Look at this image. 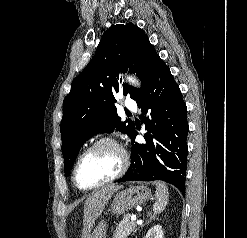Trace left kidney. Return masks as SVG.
Segmentation results:
<instances>
[{
    "mask_svg": "<svg viewBox=\"0 0 247 238\" xmlns=\"http://www.w3.org/2000/svg\"><path fill=\"white\" fill-rule=\"evenodd\" d=\"M144 238H164V233L160 225H155L149 229L148 233Z\"/></svg>",
    "mask_w": 247,
    "mask_h": 238,
    "instance_id": "obj_1",
    "label": "left kidney"
}]
</instances>
